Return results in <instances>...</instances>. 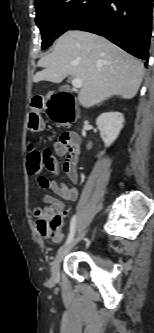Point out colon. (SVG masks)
I'll return each mask as SVG.
<instances>
[{
    "mask_svg": "<svg viewBox=\"0 0 154 333\" xmlns=\"http://www.w3.org/2000/svg\"><path fill=\"white\" fill-rule=\"evenodd\" d=\"M44 107V100L41 97H36L31 103V112L29 115V128L39 130L42 126L40 112ZM43 168L42 154L33 148L28 147L27 151V170L30 174H38ZM38 218L37 224L39 231L53 240H58L61 235L59 227L61 224V214L57 211L47 208H39L36 211Z\"/></svg>",
    "mask_w": 154,
    "mask_h": 333,
    "instance_id": "colon-1",
    "label": "colon"
}]
</instances>
